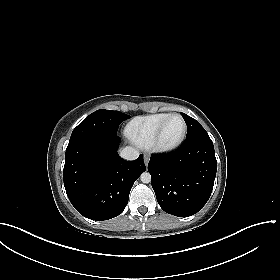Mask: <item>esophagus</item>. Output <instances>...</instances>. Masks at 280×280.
<instances>
[{"label":"esophagus","mask_w":280,"mask_h":280,"mask_svg":"<svg viewBox=\"0 0 280 280\" xmlns=\"http://www.w3.org/2000/svg\"><path fill=\"white\" fill-rule=\"evenodd\" d=\"M149 160H150V157H149V155H144V163H145V165L147 166V164L149 163Z\"/></svg>","instance_id":"1"}]
</instances>
